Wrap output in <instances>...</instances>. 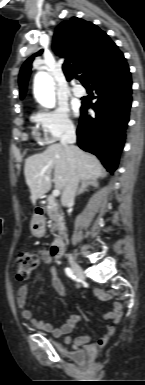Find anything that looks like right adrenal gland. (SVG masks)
<instances>
[{"label": "right adrenal gland", "instance_id": "right-adrenal-gland-1", "mask_svg": "<svg viewBox=\"0 0 145 385\" xmlns=\"http://www.w3.org/2000/svg\"><path fill=\"white\" fill-rule=\"evenodd\" d=\"M89 185H92V186H98V184L95 182V181H88V182H83L77 192V195H80L82 194L83 192L87 191L88 189V186Z\"/></svg>", "mask_w": 145, "mask_h": 385}]
</instances>
